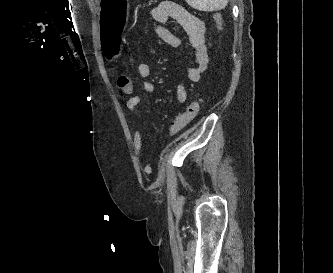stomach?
<instances>
[{"instance_id": "0dacf381", "label": "stomach", "mask_w": 333, "mask_h": 273, "mask_svg": "<svg viewBox=\"0 0 333 273\" xmlns=\"http://www.w3.org/2000/svg\"><path fill=\"white\" fill-rule=\"evenodd\" d=\"M98 23L102 28V38H121L122 32L129 27L131 16L128 13L130 0H99ZM101 50L107 60H120L122 50L120 39H103Z\"/></svg>"}]
</instances>
